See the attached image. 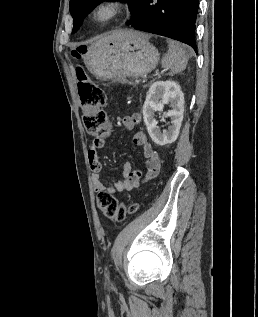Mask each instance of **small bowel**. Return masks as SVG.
I'll return each instance as SVG.
<instances>
[{
	"mask_svg": "<svg viewBox=\"0 0 258 317\" xmlns=\"http://www.w3.org/2000/svg\"><path fill=\"white\" fill-rule=\"evenodd\" d=\"M140 121L141 116L138 113H133L120 119L121 125L127 129H133ZM133 141L143 149L146 160L145 176H143L142 171L134 169L131 162L127 161L123 164L122 178L111 185H106L102 180V165L99 156V150L105 146L106 138H93L90 141L88 146V161L92 172L93 187L97 193L107 192L113 194L115 192L130 191L144 181L158 175L161 161L148 135L143 131H139L134 135Z\"/></svg>",
	"mask_w": 258,
	"mask_h": 317,
	"instance_id": "c3829d8e",
	"label": "small bowel"
}]
</instances>
